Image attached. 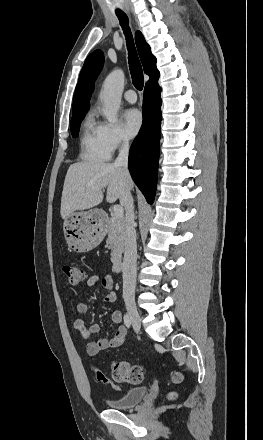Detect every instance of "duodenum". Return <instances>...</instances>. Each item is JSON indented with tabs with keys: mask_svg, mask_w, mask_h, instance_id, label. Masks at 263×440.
<instances>
[{
	"mask_svg": "<svg viewBox=\"0 0 263 440\" xmlns=\"http://www.w3.org/2000/svg\"><path fill=\"white\" fill-rule=\"evenodd\" d=\"M123 267H124V261H123V259H122V258L117 259V260L115 261V264H114V270H115V272H120V271H122V270H123Z\"/></svg>",
	"mask_w": 263,
	"mask_h": 440,
	"instance_id": "410a0bca",
	"label": "duodenum"
}]
</instances>
